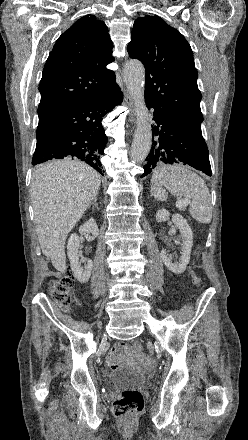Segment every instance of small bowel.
Returning a JSON list of instances; mask_svg holds the SVG:
<instances>
[{
  "label": "small bowel",
  "mask_w": 248,
  "mask_h": 440,
  "mask_svg": "<svg viewBox=\"0 0 248 440\" xmlns=\"http://www.w3.org/2000/svg\"><path fill=\"white\" fill-rule=\"evenodd\" d=\"M129 344V339L124 338L119 345L113 346L107 357L108 363L112 366L116 365L119 362L123 352L127 350L126 347L129 346Z\"/></svg>",
  "instance_id": "c3829d8e"
}]
</instances>
